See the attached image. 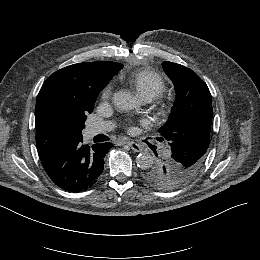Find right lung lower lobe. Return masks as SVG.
Instances as JSON below:
<instances>
[{
	"label": "right lung lower lobe",
	"mask_w": 260,
	"mask_h": 260,
	"mask_svg": "<svg viewBox=\"0 0 260 260\" xmlns=\"http://www.w3.org/2000/svg\"><path fill=\"white\" fill-rule=\"evenodd\" d=\"M112 146L109 142L84 145L81 138L65 145L42 165L57 186L69 192H80L97 182L103 172L105 154Z\"/></svg>",
	"instance_id": "1"
}]
</instances>
